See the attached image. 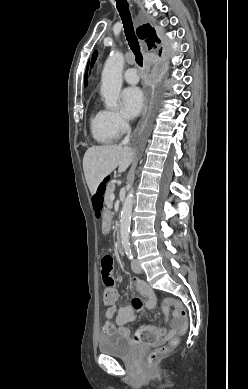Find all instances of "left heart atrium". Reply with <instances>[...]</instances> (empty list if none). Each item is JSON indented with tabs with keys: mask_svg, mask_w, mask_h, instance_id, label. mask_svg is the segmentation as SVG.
Segmentation results:
<instances>
[{
	"mask_svg": "<svg viewBox=\"0 0 248 389\" xmlns=\"http://www.w3.org/2000/svg\"><path fill=\"white\" fill-rule=\"evenodd\" d=\"M143 102V93L137 87H128L121 94L123 112L130 118L136 117L141 112Z\"/></svg>",
	"mask_w": 248,
	"mask_h": 389,
	"instance_id": "obj_1",
	"label": "left heart atrium"
}]
</instances>
